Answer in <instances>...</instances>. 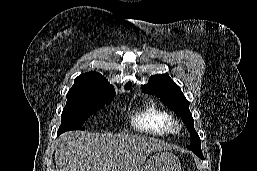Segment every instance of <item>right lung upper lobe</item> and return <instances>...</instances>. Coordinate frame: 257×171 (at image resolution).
Listing matches in <instances>:
<instances>
[{
  "label": "right lung upper lobe",
  "mask_w": 257,
  "mask_h": 171,
  "mask_svg": "<svg viewBox=\"0 0 257 171\" xmlns=\"http://www.w3.org/2000/svg\"><path fill=\"white\" fill-rule=\"evenodd\" d=\"M131 83H127L126 89H129ZM71 89H88V90H100L115 93L113 86L104 78L100 73L90 71L81 74L74 80V85Z\"/></svg>",
  "instance_id": "1"
}]
</instances>
